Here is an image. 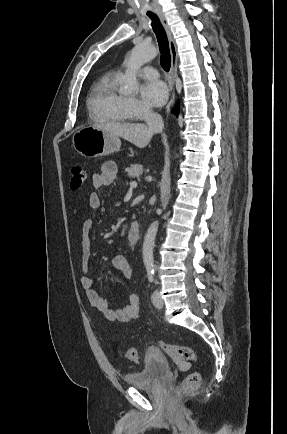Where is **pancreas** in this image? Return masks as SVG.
Masks as SVG:
<instances>
[{"label": "pancreas", "mask_w": 287, "mask_h": 434, "mask_svg": "<svg viewBox=\"0 0 287 434\" xmlns=\"http://www.w3.org/2000/svg\"><path fill=\"white\" fill-rule=\"evenodd\" d=\"M126 172H127V176L129 178H136L142 174L143 168H142V165L132 164V165H130V167L126 168Z\"/></svg>", "instance_id": "cf45deb5"}]
</instances>
